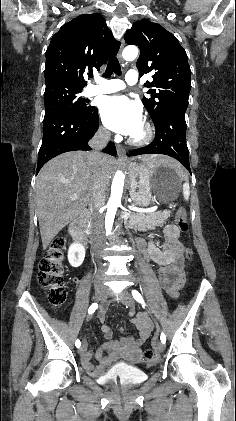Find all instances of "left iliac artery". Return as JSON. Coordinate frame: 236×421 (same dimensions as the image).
Returning a JSON list of instances; mask_svg holds the SVG:
<instances>
[{"mask_svg":"<svg viewBox=\"0 0 236 421\" xmlns=\"http://www.w3.org/2000/svg\"><path fill=\"white\" fill-rule=\"evenodd\" d=\"M132 296L137 302L141 303L143 307L146 306L143 297L141 296V294L137 290H132ZM160 340L163 344H165L166 336L163 332L161 333Z\"/></svg>","mask_w":236,"mask_h":421,"instance_id":"left-iliac-artery-1","label":"left iliac artery"}]
</instances>
